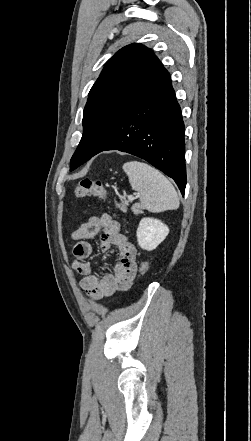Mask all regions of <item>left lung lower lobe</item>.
<instances>
[{
	"mask_svg": "<svg viewBox=\"0 0 251 441\" xmlns=\"http://www.w3.org/2000/svg\"><path fill=\"white\" fill-rule=\"evenodd\" d=\"M184 123L166 71L126 115L91 125L85 136L87 160L107 150L138 156L174 179L182 195L186 186Z\"/></svg>",
	"mask_w": 251,
	"mask_h": 441,
	"instance_id": "left-lung-lower-lobe-1",
	"label": "left lung lower lobe"
}]
</instances>
